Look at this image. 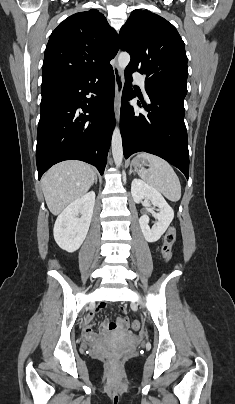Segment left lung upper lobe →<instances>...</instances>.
I'll list each match as a JSON object with an SVG mask.
<instances>
[{
    "label": "left lung upper lobe",
    "mask_w": 235,
    "mask_h": 404,
    "mask_svg": "<svg viewBox=\"0 0 235 404\" xmlns=\"http://www.w3.org/2000/svg\"><path fill=\"white\" fill-rule=\"evenodd\" d=\"M120 49L131 60L126 70L146 75L145 88L187 93V56L176 28L147 10H134L119 33Z\"/></svg>",
    "instance_id": "1"
}]
</instances>
